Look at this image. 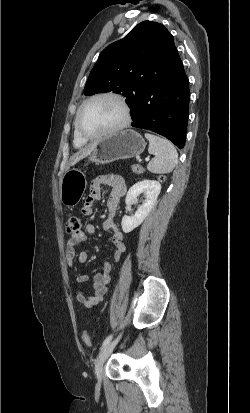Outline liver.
Segmentation results:
<instances>
[{"mask_svg": "<svg viewBox=\"0 0 250 413\" xmlns=\"http://www.w3.org/2000/svg\"><path fill=\"white\" fill-rule=\"evenodd\" d=\"M96 145H97V141L93 142L92 144L88 145L84 149H82L79 152H77L76 154H74L71 158V165H75L81 159H83L86 156H88L89 154H91V152L94 150Z\"/></svg>", "mask_w": 250, "mask_h": 413, "instance_id": "liver-1", "label": "liver"}]
</instances>
